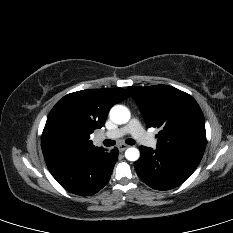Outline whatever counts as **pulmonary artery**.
I'll use <instances>...</instances> for the list:
<instances>
[{
	"mask_svg": "<svg viewBox=\"0 0 233 233\" xmlns=\"http://www.w3.org/2000/svg\"><path fill=\"white\" fill-rule=\"evenodd\" d=\"M126 134H131L141 144L148 147H155L157 144V141L145 132L137 119H132L126 126L120 129L106 132L103 137L108 139H117Z\"/></svg>",
	"mask_w": 233,
	"mask_h": 233,
	"instance_id": "obj_1",
	"label": "pulmonary artery"
}]
</instances>
